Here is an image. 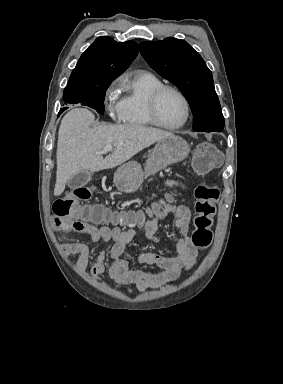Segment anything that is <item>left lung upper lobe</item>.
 <instances>
[{
    "label": "left lung upper lobe",
    "mask_w": 283,
    "mask_h": 384,
    "mask_svg": "<svg viewBox=\"0 0 283 384\" xmlns=\"http://www.w3.org/2000/svg\"><path fill=\"white\" fill-rule=\"evenodd\" d=\"M140 52L162 77L175 84L189 102L195 131H223L224 117L206 63L186 41L166 38L140 43Z\"/></svg>",
    "instance_id": "1"
}]
</instances>
